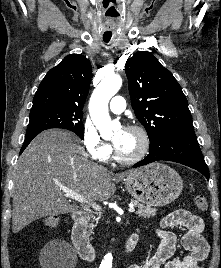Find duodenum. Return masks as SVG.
<instances>
[{
	"label": "duodenum",
	"mask_w": 221,
	"mask_h": 268,
	"mask_svg": "<svg viewBox=\"0 0 221 268\" xmlns=\"http://www.w3.org/2000/svg\"><path fill=\"white\" fill-rule=\"evenodd\" d=\"M88 218V214L85 212L75 213L73 217L74 224L71 236L73 244L77 249L79 255L84 260L93 261L96 258V249L86 235V226L88 223ZM137 241L138 235L136 233H132L131 235H129L122 247V256L129 255L135 248Z\"/></svg>",
	"instance_id": "410a0bca"
}]
</instances>
